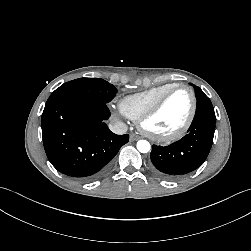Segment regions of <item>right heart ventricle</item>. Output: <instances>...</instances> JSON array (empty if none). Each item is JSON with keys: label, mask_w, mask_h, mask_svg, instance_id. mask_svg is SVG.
Masks as SVG:
<instances>
[{"label": "right heart ventricle", "mask_w": 251, "mask_h": 251, "mask_svg": "<svg viewBox=\"0 0 251 251\" xmlns=\"http://www.w3.org/2000/svg\"><path fill=\"white\" fill-rule=\"evenodd\" d=\"M175 85L173 83L163 84L139 93L124 96L119 100V109L126 117L138 120L164 92Z\"/></svg>", "instance_id": "1"}]
</instances>
